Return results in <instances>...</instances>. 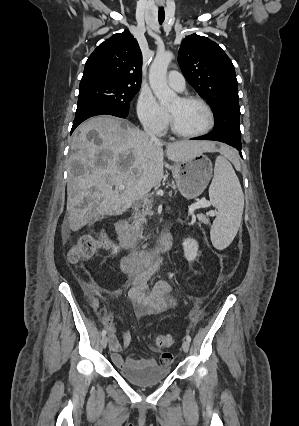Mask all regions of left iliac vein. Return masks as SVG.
I'll return each mask as SVG.
<instances>
[{"mask_svg":"<svg viewBox=\"0 0 299 426\" xmlns=\"http://www.w3.org/2000/svg\"><path fill=\"white\" fill-rule=\"evenodd\" d=\"M189 348H190V342L187 341V340L183 341V343H182V349H183V351L184 352H188Z\"/></svg>","mask_w":299,"mask_h":426,"instance_id":"1","label":"left iliac vein"}]
</instances>
